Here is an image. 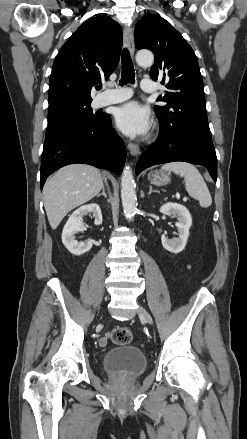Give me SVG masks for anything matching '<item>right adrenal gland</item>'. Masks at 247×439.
<instances>
[{"mask_svg": "<svg viewBox=\"0 0 247 439\" xmlns=\"http://www.w3.org/2000/svg\"><path fill=\"white\" fill-rule=\"evenodd\" d=\"M104 196L105 198H107V195H106V193H105V186L103 185V187H102V193L101 194H98L97 195V198H99L100 196Z\"/></svg>", "mask_w": 247, "mask_h": 439, "instance_id": "right-adrenal-gland-1", "label": "right adrenal gland"}]
</instances>
